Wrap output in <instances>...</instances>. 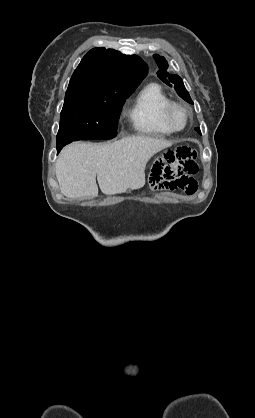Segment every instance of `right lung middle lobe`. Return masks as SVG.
I'll list each match as a JSON object with an SVG mask.
<instances>
[{
  "label": "right lung middle lobe",
  "instance_id": "1",
  "mask_svg": "<svg viewBox=\"0 0 255 418\" xmlns=\"http://www.w3.org/2000/svg\"><path fill=\"white\" fill-rule=\"evenodd\" d=\"M133 91L67 89L57 144L114 138L122 105Z\"/></svg>",
  "mask_w": 255,
  "mask_h": 418
}]
</instances>
